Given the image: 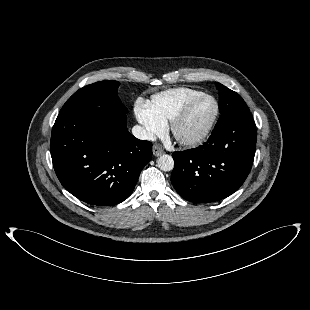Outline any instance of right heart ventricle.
<instances>
[{
    "instance_id": "right-heart-ventricle-1",
    "label": "right heart ventricle",
    "mask_w": 310,
    "mask_h": 310,
    "mask_svg": "<svg viewBox=\"0 0 310 310\" xmlns=\"http://www.w3.org/2000/svg\"><path fill=\"white\" fill-rule=\"evenodd\" d=\"M202 93L192 88H174L154 94L148 103L156 116L167 123L185 103Z\"/></svg>"
}]
</instances>
